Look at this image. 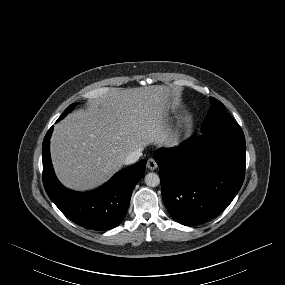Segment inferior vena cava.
Listing matches in <instances>:
<instances>
[{"instance_id": "1", "label": "inferior vena cava", "mask_w": 285, "mask_h": 285, "mask_svg": "<svg viewBox=\"0 0 285 285\" xmlns=\"http://www.w3.org/2000/svg\"><path fill=\"white\" fill-rule=\"evenodd\" d=\"M140 156H142V153L139 151H134L131 152L129 155H127L124 159V164L125 165H130V164H134L138 161V159L140 158Z\"/></svg>"}]
</instances>
